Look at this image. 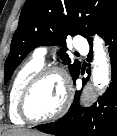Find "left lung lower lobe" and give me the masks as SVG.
I'll use <instances>...</instances> for the list:
<instances>
[{
    "label": "left lung lower lobe",
    "mask_w": 117,
    "mask_h": 136,
    "mask_svg": "<svg viewBox=\"0 0 117 136\" xmlns=\"http://www.w3.org/2000/svg\"><path fill=\"white\" fill-rule=\"evenodd\" d=\"M101 37L109 45L112 65L109 89L99 98L98 103L85 109L80 106L79 92L76 91L73 104L65 116L54 123L38 125L36 129L55 136H117V18ZM89 44L91 57L92 43ZM78 76L73 79L74 83Z\"/></svg>",
    "instance_id": "0a47b994"
}]
</instances>
